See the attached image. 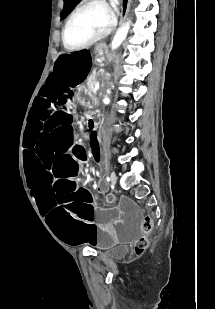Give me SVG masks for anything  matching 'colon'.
<instances>
[{
  "label": "colon",
  "mask_w": 215,
  "mask_h": 309,
  "mask_svg": "<svg viewBox=\"0 0 215 309\" xmlns=\"http://www.w3.org/2000/svg\"><path fill=\"white\" fill-rule=\"evenodd\" d=\"M108 202L113 203L114 202V196L109 195L108 196ZM153 227L152 220L149 217H146L143 221V228L146 232L150 231ZM148 240L145 236H142L140 240L136 241L135 243V250L137 252H144L147 248Z\"/></svg>",
  "instance_id": "5ec220e1"
}]
</instances>
